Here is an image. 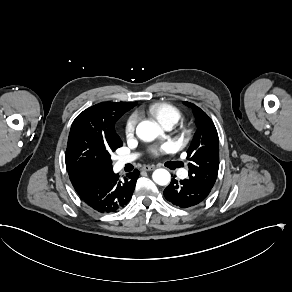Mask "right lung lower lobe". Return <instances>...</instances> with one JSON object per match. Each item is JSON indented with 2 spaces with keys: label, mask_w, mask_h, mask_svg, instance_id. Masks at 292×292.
Returning <instances> with one entry per match:
<instances>
[{
  "label": "right lung lower lobe",
  "mask_w": 292,
  "mask_h": 292,
  "mask_svg": "<svg viewBox=\"0 0 292 292\" xmlns=\"http://www.w3.org/2000/svg\"><path fill=\"white\" fill-rule=\"evenodd\" d=\"M70 181L80 198L92 209L112 213L130 201L140 172L134 170L120 178L112 170L94 172L69 170Z\"/></svg>",
  "instance_id": "right-lung-lower-lobe-1"
}]
</instances>
